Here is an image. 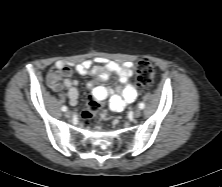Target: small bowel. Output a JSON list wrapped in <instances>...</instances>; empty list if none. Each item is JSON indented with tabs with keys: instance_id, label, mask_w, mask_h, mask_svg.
Instances as JSON below:
<instances>
[{
	"instance_id": "1",
	"label": "small bowel",
	"mask_w": 222,
	"mask_h": 187,
	"mask_svg": "<svg viewBox=\"0 0 222 187\" xmlns=\"http://www.w3.org/2000/svg\"><path fill=\"white\" fill-rule=\"evenodd\" d=\"M97 63L98 65H94ZM56 67L59 68L66 79L59 82L50 75L47 78L48 85L55 91H60L63 88L67 89V96L71 105H76L79 98L78 82L70 79L72 69L64 61L56 62ZM75 71L82 75H90L93 77L87 83V88L91 91L92 96L99 100H109V107L113 111H121L128 104L134 102L138 96V92L130 80L133 76L134 66L131 62H116L105 58H95L92 60L83 61L75 66ZM111 73H115L119 78V84L114 88L97 85L99 81L108 79Z\"/></svg>"
}]
</instances>
